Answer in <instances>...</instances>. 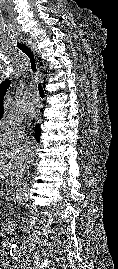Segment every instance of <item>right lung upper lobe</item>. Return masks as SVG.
Instances as JSON below:
<instances>
[{
  "label": "right lung upper lobe",
  "mask_w": 118,
  "mask_h": 269,
  "mask_svg": "<svg viewBox=\"0 0 118 269\" xmlns=\"http://www.w3.org/2000/svg\"><path fill=\"white\" fill-rule=\"evenodd\" d=\"M11 81L10 80H5L0 84V108L2 107V102L4 95L6 94L7 89L10 86ZM39 126V125H36Z\"/></svg>",
  "instance_id": "cb5924a9"
}]
</instances>
